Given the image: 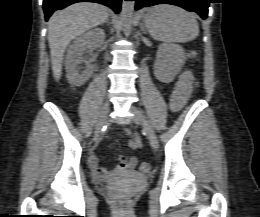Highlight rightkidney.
<instances>
[{"label": "right kidney", "instance_id": "ca27d5eb", "mask_svg": "<svg viewBox=\"0 0 260 217\" xmlns=\"http://www.w3.org/2000/svg\"><path fill=\"white\" fill-rule=\"evenodd\" d=\"M105 33L102 29L96 28L75 38L68 49L65 66L68 82L72 86L84 85L92 74V66L86 63V67L81 71L80 64L84 62L83 53L87 48H91L103 42Z\"/></svg>", "mask_w": 260, "mask_h": 217}]
</instances>
